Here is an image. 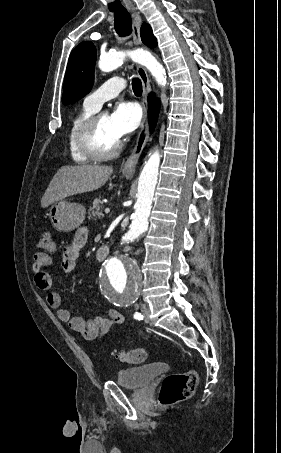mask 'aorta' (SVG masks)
Returning <instances> with one entry per match:
<instances>
[{
  "mask_svg": "<svg viewBox=\"0 0 281 453\" xmlns=\"http://www.w3.org/2000/svg\"><path fill=\"white\" fill-rule=\"evenodd\" d=\"M145 66L158 85H166V72L162 64L147 50L112 52L100 57L98 66L110 72L123 64L125 57ZM160 153L154 151L145 162L138 181L137 201L132 222L123 240L134 241L148 230V218L152 208L155 186L158 179ZM102 295L108 302L120 306L133 303L142 286L141 271L136 262L128 257H112L105 261L99 276Z\"/></svg>",
  "mask_w": 281,
  "mask_h": 453,
  "instance_id": "aorta-1",
  "label": "aorta"
}]
</instances>
